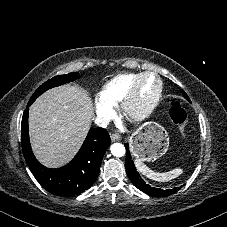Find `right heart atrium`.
Returning a JSON list of instances; mask_svg holds the SVG:
<instances>
[{"instance_id":"right-heart-atrium-1","label":"right heart atrium","mask_w":227,"mask_h":227,"mask_svg":"<svg viewBox=\"0 0 227 227\" xmlns=\"http://www.w3.org/2000/svg\"><path fill=\"white\" fill-rule=\"evenodd\" d=\"M94 110L99 117H106L112 113V106L102 102H97Z\"/></svg>"}]
</instances>
